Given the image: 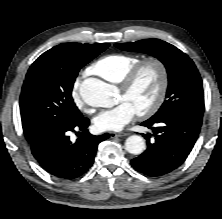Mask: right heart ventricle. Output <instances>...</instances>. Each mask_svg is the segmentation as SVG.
I'll return each mask as SVG.
<instances>
[{
  "instance_id": "right-heart-ventricle-1",
  "label": "right heart ventricle",
  "mask_w": 222,
  "mask_h": 219,
  "mask_svg": "<svg viewBox=\"0 0 222 219\" xmlns=\"http://www.w3.org/2000/svg\"><path fill=\"white\" fill-rule=\"evenodd\" d=\"M140 61V57L129 54H108L91 66L93 72L103 79L119 84L125 74Z\"/></svg>"
}]
</instances>
